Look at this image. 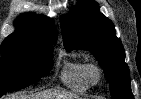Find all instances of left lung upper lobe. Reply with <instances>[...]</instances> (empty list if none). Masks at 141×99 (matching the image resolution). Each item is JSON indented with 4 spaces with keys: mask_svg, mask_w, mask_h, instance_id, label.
Returning a JSON list of instances; mask_svg holds the SVG:
<instances>
[{
    "mask_svg": "<svg viewBox=\"0 0 141 99\" xmlns=\"http://www.w3.org/2000/svg\"><path fill=\"white\" fill-rule=\"evenodd\" d=\"M61 27L67 50H90L99 61L110 82L113 99H134L121 40L94 0L79 2L72 13L61 18Z\"/></svg>",
    "mask_w": 141,
    "mask_h": 99,
    "instance_id": "5c2ea615",
    "label": "left lung upper lobe"
}]
</instances>
